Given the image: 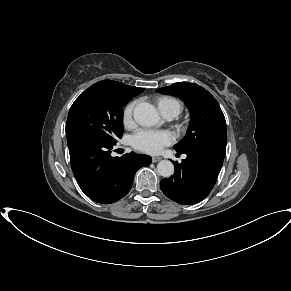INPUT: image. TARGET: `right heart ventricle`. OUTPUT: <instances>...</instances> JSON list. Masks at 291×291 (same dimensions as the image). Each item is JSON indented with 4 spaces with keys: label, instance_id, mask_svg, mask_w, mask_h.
<instances>
[{
    "label": "right heart ventricle",
    "instance_id": "obj_1",
    "mask_svg": "<svg viewBox=\"0 0 291 291\" xmlns=\"http://www.w3.org/2000/svg\"><path fill=\"white\" fill-rule=\"evenodd\" d=\"M157 105L162 114L166 112H173L175 116H177L181 113L183 109L182 102L170 96L160 97L157 101Z\"/></svg>",
    "mask_w": 291,
    "mask_h": 291
}]
</instances>
